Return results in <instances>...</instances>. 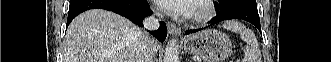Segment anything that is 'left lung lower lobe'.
<instances>
[{"label":"left lung lower lobe","mask_w":331,"mask_h":62,"mask_svg":"<svg viewBox=\"0 0 331 62\" xmlns=\"http://www.w3.org/2000/svg\"><path fill=\"white\" fill-rule=\"evenodd\" d=\"M241 19L253 24L259 31H261L260 19L257 8H252L243 4L231 5L228 8L221 10L220 13L210 20L211 25L219 23L224 20ZM201 29L187 30L186 34L195 33Z\"/></svg>","instance_id":"0a47b994"}]
</instances>
